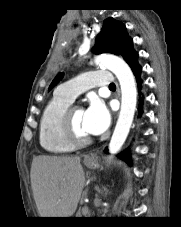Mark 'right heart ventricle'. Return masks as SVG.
Instances as JSON below:
<instances>
[{
	"mask_svg": "<svg viewBox=\"0 0 181 227\" xmlns=\"http://www.w3.org/2000/svg\"><path fill=\"white\" fill-rule=\"evenodd\" d=\"M72 101L55 93L45 106L39 123V141L44 150L53 154L68 153L75 149L62 129V118Z\"/></svg>",
	"mask_w": 181,
	"mask_h": 227,
	"instance_id": "obj_1",
	"label": "right heart ventricle"
}]
</instances>
